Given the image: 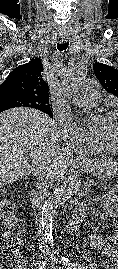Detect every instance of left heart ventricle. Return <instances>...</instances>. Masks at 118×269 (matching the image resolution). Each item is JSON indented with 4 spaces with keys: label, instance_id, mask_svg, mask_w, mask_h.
I'll use <instances>...</instances> for the list:
<instances>
[{
    "label": "left heart ventricle",
    "instance_id": "b2bd125f",
    "mask_svg": "<svg viewBox=\"0 0 118 269\" xmlns=\"http://www.w3.org/2000/svg\"><path fill=\"white\" fill-rule=\"evenodd\" d=\"M95 136H102L118 142V114L110 117H99L95 120L93 128Z\"/></svg>",
    "mask_w": 118,
    "mask_h": 269
}]
</instances>
